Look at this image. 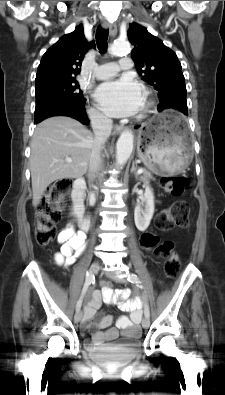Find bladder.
<instances>
[{
    "mask_svg": "<svg viewBox=\"0 0 225 395\" xmlns=\"http://www.w3.org/2000/svg\"><path fill=\"white\" fill-rule=\"evenodd\" d=\"M140 347L141 341L139 339L119 340L107 348L96 350L95 353L102 360H120L128 358Z\"/></svg>",
    "mask_w": 225,
    "mask_h": 395,
    "instance_id": "1",
    "label": "bladder"
}]
</instances>
